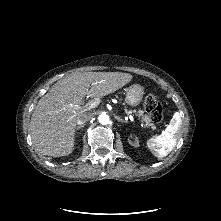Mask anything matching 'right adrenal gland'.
Returning a JSON list of instances; mask_svg holds the SVG:
<instances>
[{"label":"right adrenal gland","instance_id":"obj_1","mask_svg":"<svg viewBox=\"0 0 221 221\" xmlns=\"http://www.w3.org/2000/svg\"><path fill=\"white\" fill-rule=\"evenodd\" d=\"M84 126H78L77 128H76V130H79V129H81V128H83Z\"/></svg>","mask_w":221,"mask_h":221}]
</instances>
